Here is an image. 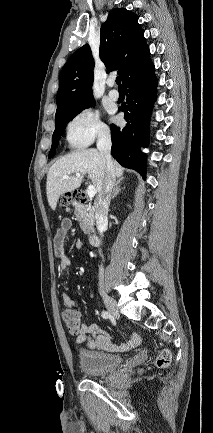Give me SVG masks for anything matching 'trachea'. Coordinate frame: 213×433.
I'll list each match as a JSON object with an SVG mask.
<instances>
[{
    "label": "trachea",
    "mask_w": 213,
    "mask_h": 433,
    "mask_svg": "<svg viewBox=\"0 0 213 433\" xmlns=\"http://www.w3.org/2000/svg\"><path fill=\"white\" fill-rule=\"evenodd\" d=\"M116 83L118 84L119 88H122V85H121V78H120V77H117V78H116Z\"/></svg>",
    "instance_id": "1"
}]
</instances>
